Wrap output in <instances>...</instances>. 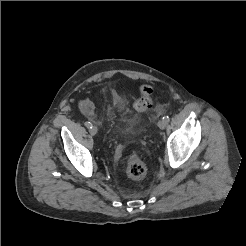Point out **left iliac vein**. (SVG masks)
<instances>
[{
    "label": "left iliac vein",
    "instance_id": "4c4485c4",
    "mask_svg": "<svg viewBox=\"0 0 246 246\" xmlns=\"http://www.w3.org/2000/svg\"><path fill=\"white\" fill-rule=\"evenodd\" d=\"M166 122L164 121V120H160V121H158V127L160 128V129H165V127H166Z\"/></svg>",
    "mask_w": 246,
    "mask_h": 246
}]
</instances>
